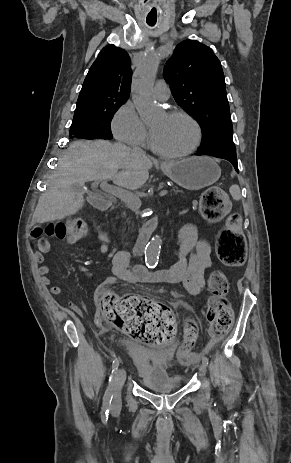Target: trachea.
Instances as JSON below:
<instances>
[{"instance_id": "1", "label": "trachea", "mask_w": 291, "mask_h": 463, "mask_svg": "<svg viewBox=\"0 0 291 463\" xmlns=\"http://www.w3.org/2000/svg\"><path fill=\"white\" fill-rule=\"evenodd\" d=\"M148 25H149V26H154V25H155V23H148Z\"/></svg>"}]
</instances>
